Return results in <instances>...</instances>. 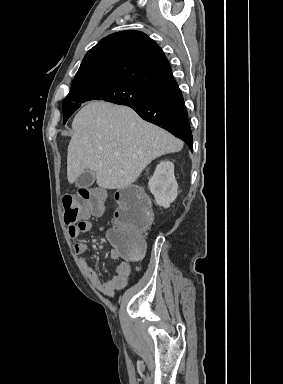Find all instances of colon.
Wrapping results in <instances>:
<instances>
[{
    "mask_svg": "<svg viewBox=\"0 0 283 384\" xmlns=\"http://www.w3.org/2000/svg\"><path fill=\"white\" fill-rule=\"evenodd\" d=\"M106 199V192L100 189L80 188L65 194V223L76 226L89 214L103 213ZM116 205L110 243L121 259L138 260L145 253L144 231L152 222L149 204L138 188L129 186L116 193Z\"/></svg>",
    "mask_w": 283,
    "mask_h": 384,
    "instance_id": "colon-1",
    "label": "colon"
}]
</instances>
